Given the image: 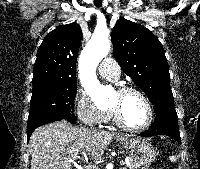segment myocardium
<instances>
[{
    "label": "myocardium",
    "mask_w": 200,
    "mask_h": 169,
    "mask_svg": "<svg viewBox=\"0 0 200 169\" xmlns=\"http://www.w3.org/2000/svg\"><path fill=\"white\" fill-rule=\"evenodd\" d=\"M116 92L119 95H124L127 93H135L138 96H140L147 106L148 119H147L146 123L140 127H131V126L127 125L124 122V120L122 119L121 113H120V110L118 107L108 106L109 113H110V116H111V119L113 120V122L116 125H118L119 127L123 128L124 130L130 131V132H142V131L148 129L151 126V124L153 122V118H154L153 106H152V103L149 100L148 96L139 88L134 87V86H128V85H123V86L118 87L116 89Z\"/></svg>",
    "instance_id": "myocardium-1"
}]
</instances>
